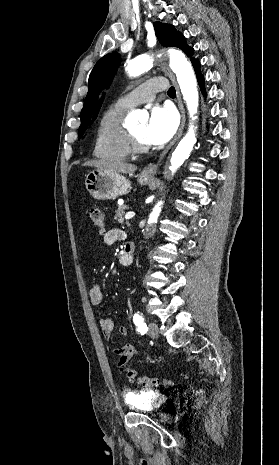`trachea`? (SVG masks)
Returning a JSON list of instances; mask_svg holds the SVG:
<instances>
[{"mask_svg":"<svg viewBox=\"0 0 279 465\" xmlns=\"http://www.w3.org/2000/svg\"><path fill=\"white\" fill-rule=\"evenodd\" d=\"M168 95L170 97H175L176 96V91H175L174 87H170V89L168 90Z\"/></svg>","mask_w":279,"mask_h":465,"instance_id":"1","label":"trachea"}]
</instances>
